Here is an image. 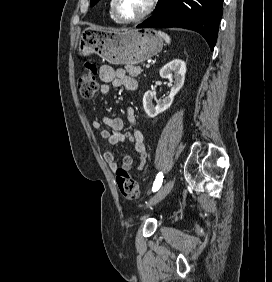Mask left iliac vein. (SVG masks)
I'll return each mask as SVG.
<instances>
[{
  "label": "left iliac vein",
  "mask_w": 272,
  "mask_h": 282,
  "mask_svg": "<svg viewBox=\"0 0 272 282\" xmlns=\"http://www.w3.org/2000/svg\"><path fill=\"white\" fill-rule=\"evenodd\" d=\"M174 181L169 180L167 181L160 190L149 200L147 203V207L157 204L159 201H161L165 196L168 195V193L173 188Z\"/></svg>",
  "instance_id": "1"
}]
</instances>
